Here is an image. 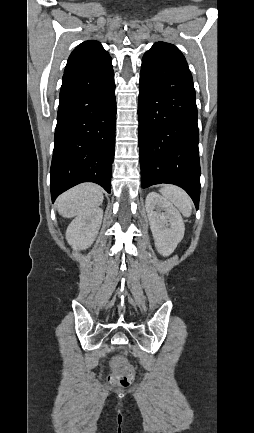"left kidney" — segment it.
<instances>
[{
    "label": "left kidney",
    "mask_w": 254,
    "mask_h": 433,
    "mask_svg": "<svg viewBox=\"0 0 254 433\" xmlns=\"http://www.w3.org/2000/svg\"><path fill=\"white\" fill-rule=\"evenodd\" d=\"M145 207L155 247L161 255L169 256L184 236L182 216L170 202L156 192L147 195Z\"/></svg>",
    "instance_id": "1"
}]
</instances>
